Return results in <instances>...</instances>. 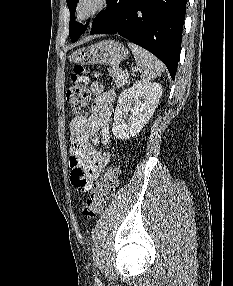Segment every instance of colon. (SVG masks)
I'll use <instances>...</instances> for the list:
<instances>
[{
  "label": "colon",
  "instance_id": "1",
  "mask_svg": "<svg viewBox=\"0 0 233 286\" xmlns=\"http://www.w3.org/2000/svg\"><path fill=\"white\" fill-rule=\"evenodd\" d=\"M72 85L66 94V101L74 114H79L87 106L90 99L87 69L79 64L74 65L71 75ZM118 170L107 168L96 183L90 197L83 204L81 213L85 219L97 217L109 203L117 186Z\"/></svg>",
  "mask_w": 233,
  "mask_h": 286
}]
</instances>
